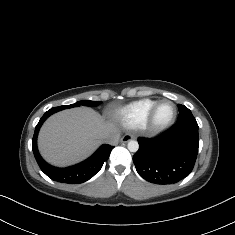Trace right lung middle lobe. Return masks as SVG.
Returning <instances> with one entry per match:
<instances>
[{
  "mask_svg": "<svg viewBox=\"0 0 235 235\" xmlns=\"http://www.w3.org/2000/svg\"><path fill=\"white\" fill-rule=\"evenodd\" d=\"M100 103H101V101H87V100H83V101H79V102H76L75 104H71V105L54 107V108H52V110L54 112H57V111H60V110L66 109V108L77 107V106H80V105L95 107V106H98Z\"/></svg>",
  "mask_w": 235,
  "mask_h": 235,
  "instance_id": "1",
  "label": "right lung middle lobe"
}]
</instances>
